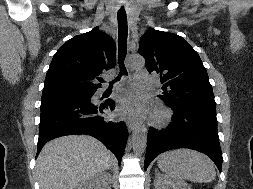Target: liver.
I'll return each instance as SVG.
<instances>
[{
    "instance_id": "1",
    "label": "liver",
    "mask_w": 253,
    "mask_h": 189,
    "mask_svg": "<svg viewBox=\"0 0 253 189\" xmlns=\"http://www.w3.org/2000/svg\"><path fill=\"white\" fill-rule=\"evenodd\" d=\"M114 160L113 154L93 137L56 138L43 147L37 159L40 189H74L110 168Z\"/></svg>"
}]
</instances>
